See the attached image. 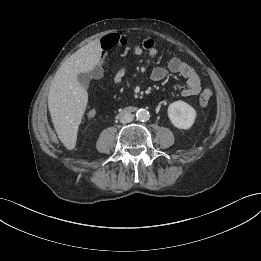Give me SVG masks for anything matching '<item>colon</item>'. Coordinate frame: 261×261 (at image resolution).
<instances>
[{
  "label": "colon",
  "mask_w": 261,
  "mask_h": 261,
  "mask_svg": "<svg viewBox=\"0 0 261 261\" xmlns=\"http://www.w3.org/2000/svg\"><path fill=\"white\" fill-rule=\"evenodd\" d=\"M211 97H212V90L210 88L203 89L199 98L200 106L203 108L207 107Z\"/></svg>",
  "instance_id": "1"
}]
</instances>
